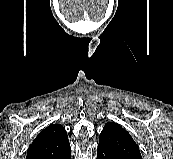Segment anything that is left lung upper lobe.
Wrapping results in <instances>:
<instances>
[{"mask_svg": "<svg viewBox=\"0 0 173 159\" xmlns=\"http://www.w3.org/2000/svg\"><path fill=\"white\" fill-rule=\"evenodd\" d=\"M99 145L126 159H142L138 145L130 134L115 122L105 124Z\"/></svg>", "mask_w": 173, "mask_h": 159, "instance_id": "obj_1", "label": "left lung upper lobe"}]
</instances>
